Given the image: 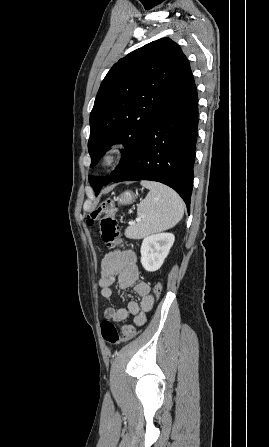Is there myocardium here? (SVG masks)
Here are the masks:
<instances>
[{
    "instance_id": "f54148a6",
    "label": "myocardium",
    "mask_w": 269,
    "mask_h": 447,
    "mask_svg": "<svg viewBox=\"0 0 269 447\" xmlns=\"http://www.w3.org/2000/svg\"><path fill=\"white\" fill-rule=\"evenodd\" d=\"M124 147V144L121 142L109 144L102 153L101 165L105 168L112 167L121 157Z\"/></svg>"
}]
</instances>
